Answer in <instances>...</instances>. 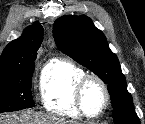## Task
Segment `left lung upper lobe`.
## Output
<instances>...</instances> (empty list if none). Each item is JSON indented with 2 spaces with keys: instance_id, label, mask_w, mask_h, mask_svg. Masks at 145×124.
Returning a JSON list of instances; mask_svg holds the SVG:
<instances>
[{
  "instance_id": "5c2ea615",
  "label": "left lung upper lobe",
  "mask_w": 145,
  "mask_h": 124,
  "mask_svg": "<svg viewBox=\"0 0 145 124\" xmlns=\"http://www.w3.org/2000/svg\"><path fill=\"white\" fill-rule=\"evenodd\" d=\"M53 36L61 51L108 84L114 123L140 124L118 58L91 19L83 15L60 17L54 23Z\"/></svg>"
}]
</instances>
